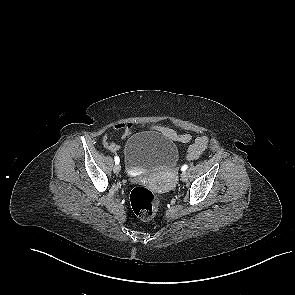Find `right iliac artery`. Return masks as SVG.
<instances>
[{
    "label": "right iliac artery",
    "mask_w": 295,
    "mask_h": 295,
    "mask_svg": "<svg viewBox=\"0 0 295 295\" xmlns=\"http://www.w3.org/2000/svg\"><path fill=\"white\" fill-rule=\"evenodd\" d=\"M114 159H115V163L116 164H119V157L118 156H115Z\"/></svg>",
    "instance_id": "1"
}]
</instances>
